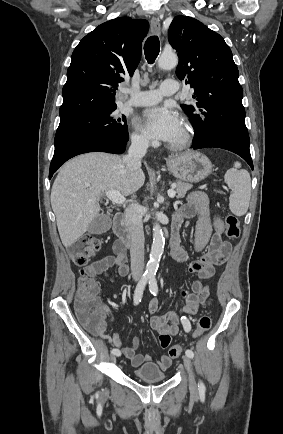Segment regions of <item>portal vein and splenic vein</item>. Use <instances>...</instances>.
Masks as SVG:
<instances>
[{
    "label": "portal vein and splenic vein",
    "instance_id": "1",
    "mask_svg": "<svg viewBox=\"0 0 283 434\" xmlns=\"http://www.w3.org/2000/svg\"><path fill=\"white\" fill-rule=\"evenodd\" d=\"M105 195L108 199H110L115 204H123L126 200L125 197L120 194V192L115 190L107 191ZM175 195H176L175 190L173 189L168 190V196L170 198H174Z\"/></svg>",
    "mask_w": 283,
    "mask_h": 434
}]
</instances>
